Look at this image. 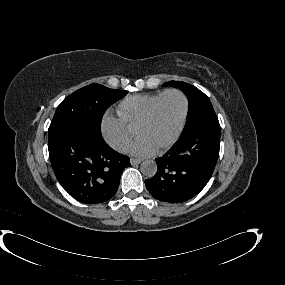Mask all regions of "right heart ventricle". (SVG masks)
<instances>
[{"label": "right heart ventricle", "instance_id": "right-heart-ventricle-1", "mask_svg": "<svg viewBox=\"0 0 285 285\" xmlns=\"http://www.w3.org/2000/svg\"><path fill=\"white\" fill-rule=\"evenodd\" d=\"M162 93L137 94L127 97L118 105L117 114L120 120L129 130H137Z\"/></svg>", "mask_w": 285, "mask_h": 285}]
</instances>
